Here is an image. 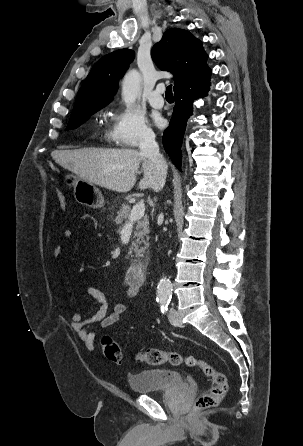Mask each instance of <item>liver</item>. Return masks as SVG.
I'll return each instance as SVG.
<instances>
[{"instance_id":"obj_1","label":"liver","mask_w":303,"mask_h":446,"mask_svg":"<svg viewBox=\"0 0 303 446\" xmlns=\"http://www.w3.org/2000/svg\"><path fill=\"white\" fill-rule=\"evenodd\" d=\"M51 155L56 163L85 181L112 191H130L140 167L143 178L138 184L139 189L159 191L164 185L154 164L135 149L84 148L56 150Z\"/></svg>"}]
</instances>
